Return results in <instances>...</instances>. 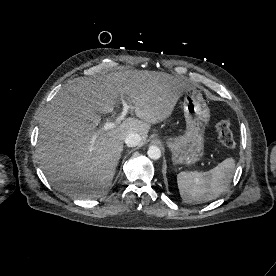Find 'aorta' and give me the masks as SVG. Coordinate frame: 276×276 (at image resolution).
<instances>
[{
    "instance_id": "obj_1",
    "label": "aorta",
    "mask_w": 276,
    "mask_h": 276,
    "mask_svg": "<svg viewBox=\"0 0 276 276\" xmlns=\"http://www.w3.org/2000/svg\"><path fill=\"white\" fill-rule=\"evenodd\" d=\"M148 157L152 160H158L161 157V150L157 146H150L147 151Z\"/></svg>"
}]
</instances>
